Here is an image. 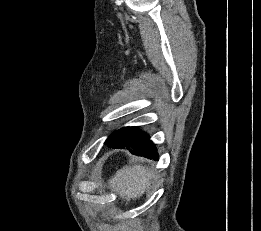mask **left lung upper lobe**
<instances>
[{
	"label": "left lung upper lobe",
	"mask_w": 261,
	"mask_h": 231,
	"mask_svg": "<svg viewBox=\"0 0 261 231\" xmlns=\"http://www.w3.org/2000/svg\"><path fill=\"white\" fill-rule=\"evenodd\" d=\"M146 137L147 134L145 132L140 131L138 127H126L113 132L108 137L105 144H110L113 142L115 143L119 140H123L127 138L142 140L145 139Z\"/></svg>",
	"instance_id": "1"
}]
</instances>
